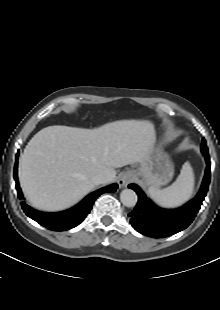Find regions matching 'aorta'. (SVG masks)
<instances>
[{
  "label": "aorta",
  "instance_id": "762f6f07",
  "mask_svg": "<svg viewBox=\"0 0 220 310\" xmlns=\"http://www.w3.org/2000/svg\"><path fill=\"white\" fill-rule=\"evenodd\" d=\"M120 200L126 207H134L137 203V194L132 189H124L120 194Z\"/></svg>",
  "mask_w": 220,
  "mask_h": 310
}]
</instances>
